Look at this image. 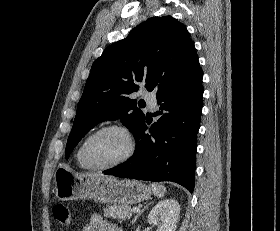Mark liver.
Returning <instances> with one entry per match:
<instances>
[{
	"instance_id": "1",
	"label": "liver",
	"mask_w": 280,
	"mask_h": 231,
	"mask_svg": "<svg viewBox=\"0 0 280 231\" xmlns=\"http://www.w3.org/2000/svg\"><path fill=\"white\" fill-rule=\"evenodd\" d=\"M85 175H89V177H105V175H99V173H85Z\"/></svg>"
}]
</instances>
